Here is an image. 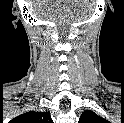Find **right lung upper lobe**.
Returning <instances> with one entry per match:
<instances>
[{
	"label": "right lung upper lobe",
	"mask_w": 124,
	"mask_h": 123,
	"mask_svg": "<svg viewBox=\"0 0 124 123\" xmlns=\"http://www.w3.org/2000/svg\"><path fill=\"white\" fill-rule=\"evenodd\" d=\"M18 123H52L49 112L30 111L17 116L14 119Z\"/></svg>",
	"instance_id": "obj_1"
}]
</instances>
